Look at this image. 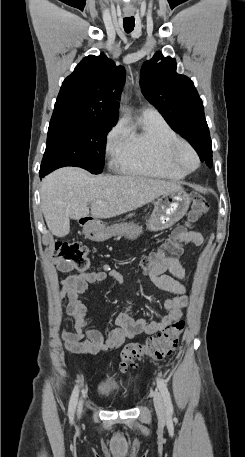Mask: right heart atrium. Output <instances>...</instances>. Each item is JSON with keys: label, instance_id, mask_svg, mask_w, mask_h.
<instances>
[{"label": "right heart atrium", "instance_id": "1", "mask_svg": "<svg viewBox=\"0 0 245 457\" xmlns=\"http://www.w3.org/2000/svg\"><path fill=\"white\" fill-rule=\"evenodd\" d=\"M125 128L122 120H118L108 131L106 135L107 149L112 152L118 146L122 145L124 139Z\"/></svg>", "mask_w": 245, "mask_h": 457}]
</instances>
